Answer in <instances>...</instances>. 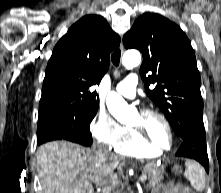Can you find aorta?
Returning <instances> with one entry per match:
<instances>
[{"label":"aorta","instance_id":"aorta-1","mask_svg":"<svg viewBox=\"0 0 221 193\" xmlns=\"http://www.w3.org/2000/svg\"><path fill=\"white\" fill-rule=\"evenodd\" d=\"M140 63L141 54L136 50L127 51L123 55L122 64L127 69L137 67ZM106 105L111 115L120 122H123L134 112V108L128 105L127 102L114 91L108 94Z\"/></svg>","mask_w":221,"mask_h":193}]
</instances>
